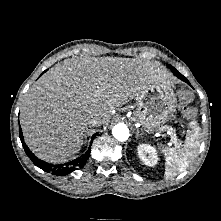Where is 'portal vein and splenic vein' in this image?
<instances>
[{
	"instance_id": "portal-vein-and-splenic-vein-1",
	"label": "portal vein and splenic vein",
	"mask_w": 221,
	"mask_h": 221,
	"mask_svg": "<svg viewBox=\"0 0 221 221\" xmlns=\"http://www.w3.org/2000/svg\"><path fill=\"white\" fill-rule=\"evenodd\" d=\"M167 134L171 136V138H172L173 141H176V140H177L176 134H175L174 132H172V130H171V131H168ZM162 136L164 137V136H166V134H162Z\"/></svg>"
}]
</instances>
